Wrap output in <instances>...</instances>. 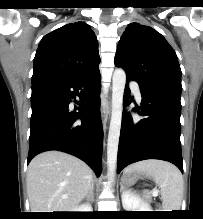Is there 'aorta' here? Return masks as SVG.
Returning <instances> with one entry per match:
<instances>
[{
	"mask_svg": "<svg viewBox=\"0 0 203 219\" xmlns=\"http://www.w3.org/2000/svg\"><path fill=\"white\" fill-rule=\"evenodd\" d=\"M125 84V71L121 68L115 69L112 78V115L107 143V166L110 182L114 181L116 173L117 152L121 130Z\"/></svg>",
	"mask_w": 203,
	"mask_h": 219,
	"instance_id": "obj_1",
	"label": "aorta"
}]
</instances>
